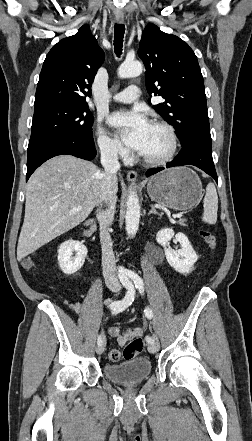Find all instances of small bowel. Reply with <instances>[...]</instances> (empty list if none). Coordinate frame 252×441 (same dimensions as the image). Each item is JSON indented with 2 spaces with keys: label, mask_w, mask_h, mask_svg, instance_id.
Listing matches in <instances>:
<instances>
[{
  "label": "small bowel",
  "mask_w": 252,
  "mask_h": 441,
  "mask_svg": "<svg viewBox=\"0 0 252 441\" xmlns=\"http://www.w3.org/2000/svg\"><path fill=\"white\" fill-rule=\"evenodd\" d=\"M71 309L75 313H80L81 305L78 302L70 304ZM109 335L114 338L119 346H124L128 341L133 340L135 337H139L142 335L141 328H127L122 330L118 326H112L108 330Z\"/></svg>",
  "instance_id": "obj_1"
}]
</instances>
